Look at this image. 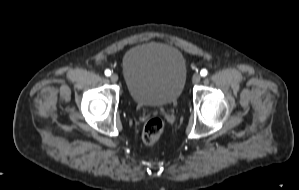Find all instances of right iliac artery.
<instances>
[{
  "label": "right iliac artery",
  "mask_w": 299,
  "mask_h": 190,
  "mask_svg": "<svg viewBox=\"0 0 299 190\" xmlns=\"http://www.w3.org/2000/svg\"><path fill=\"white\" fill-rule=\"evenodd\" d=\"M105 75L106 76H110L111 75V71L109 69L105 70Z\"/></svg>",
  "instance_id": "82829eb1"
}]
</instances>
